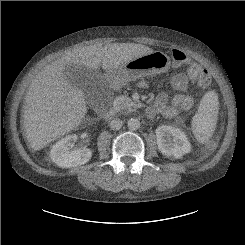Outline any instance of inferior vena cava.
Masks as SVG:
<instances>
[{
  "instance_id": "1",
  "label": "inferior vena cava",
  "mask_w": 245,
  "mask_h": 245,
  "mask_svg": "<svg viewBox=\"0 0 245 245\" xmlns=\"http://www.w3.org/2000/svg\"><path fill=\"white\" fill-rule=\"evenodd\" d=\"M122 127V121L120 119H113L110 123V128L112 130H119Z\"/></svg>"
}]
</instances>
